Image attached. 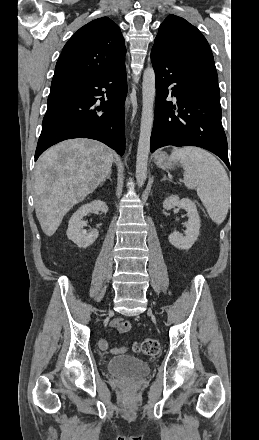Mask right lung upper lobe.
I'll return each mask as SVG.
<instances>
[{
    "label": "right lung upper lobe",
    "instance_id": "cb5924a9",
    "mask_svg": "<svg viewBox=\"0 0 259 440\" xmlns=\"http://www.w3.org/2000/svg\"><path fill=\"white\" fill-rule=\"evenodd\" d=\"M126 47L120 28L108 17L81 27L65 44L51 85L72 83L110 72L122 64Z\"/></svg>",
    "mask_w": 259,
    "mask_h": 440
}]
</instances>
